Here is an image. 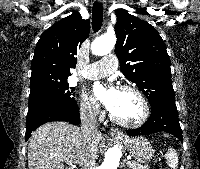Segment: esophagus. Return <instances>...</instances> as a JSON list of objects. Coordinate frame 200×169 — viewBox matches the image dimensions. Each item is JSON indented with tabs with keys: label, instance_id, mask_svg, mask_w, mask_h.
<instances>
[{
	"label": "esophagus",
	"instance_id": "34e87169",
	"mask_svg": "<svg viewBox=\"0 0 200 169\" xmlns=\"http://www.w3.org/2000/svg\"><path fill=\"white\" fill-rule=\"evenodd\" d=\"M100 2H104V0H99ZM110 135L111 136H115V137H122L123 136V133L118 129V128H115V127H112L110 129Z\"/></svg>",
	"mask_w": 200,
	"mask_h": 169
}]
</instances>
